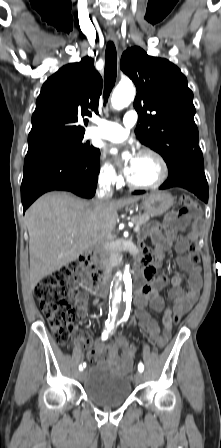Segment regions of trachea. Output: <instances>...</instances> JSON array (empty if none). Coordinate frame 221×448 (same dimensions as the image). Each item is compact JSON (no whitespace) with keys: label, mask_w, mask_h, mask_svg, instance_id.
I'll list each match as a JSON object with an SVG mask.
<instances>
[{"label":"trachea","mask_w":221,"mask_h":448,"mask_svg":"<svg viewBox=\"0 0 221 448\" xmlns=\"http://www.w3.org/2000/svg\"><path fill=\"white\" fill-rule=\"evenodd\" d=\"M117 54L114 43H107L105 52V70H104V103L108 101L109 95L115 85L117 76Z\"/></svg>","instance_id":"3493384b"}]
</instances>
